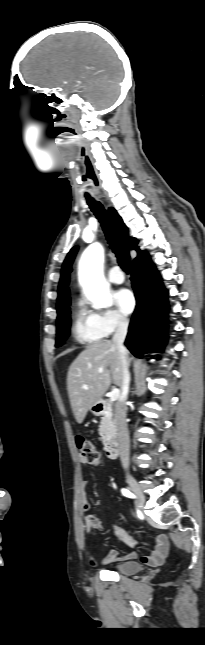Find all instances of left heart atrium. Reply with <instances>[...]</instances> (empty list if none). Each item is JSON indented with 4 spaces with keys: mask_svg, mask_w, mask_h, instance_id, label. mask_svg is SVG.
Segmentation results:
<instances>
[{
    "mask_svg": "<svg viewBox=\"0 0 205 645\" xmlns=\"http://www.w3.org/2000/svg\"><path fill=\"white\" fill-rule=\"evenodd\" d=\"M115 300L119 309L125 314H130L135 307L134 295L128 289L119 290L115 295Z\"/></svg>",
    "mask_w": 205,
    "mask_h": 645,
    "instance_id": "39dd6f15",
    "label": "left heart atrium"
}]
</instances>
